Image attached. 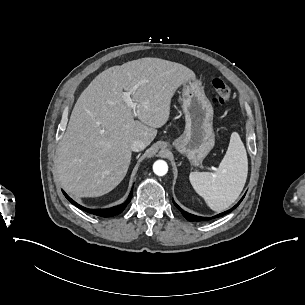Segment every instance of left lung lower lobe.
Masks as SVG:
<instances>
[{
    "label": "left lung lower lobe",
    "mask_w": 305,
    "mask_h": 305,
    "mask_svg": "<svg viewBox=\"0 0 305 305\" xmlns=\"http://www.w3.org/2000/svg\"><path fill=\"white\" fill-rule=\"evenodd\" d=\"M244 196H245V195H244ZM244 196L242 197V199H241L233 208H231L230 210L225 211V212H223V213H220V214H218V215H216V216H213V217H199V216L190 214V213H188V212L182 210V209L174 202V200H173V203H174V205L181 211V213L183 214V216H184L187 220H189V221H207V220L215 219V218H217V217H221V216H223V215H225V214L231 212L233 209H235V208L240 204V202L243 200Z\"/></svg>",
    "instance_id": "obj_1"
}]
</instances>
